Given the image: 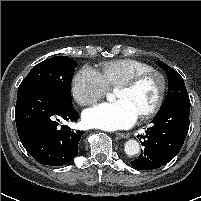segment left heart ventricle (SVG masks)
Wrapping results in <instances>:
<instances>
[{
	"label": "left heart ventricle",
	"mask_w": 201,
	"mask_h": 201,
	"mask_svg": "<svg viewBox=\"0 0 201 201\" xmlns=\"http://www.w3.org/2000/svg\"><path fill=\"white\" fill-rule=\"evenodd\" d=\"M159 82L156 77H149L131 89L117 88L115 99L125 101L141 116L149 110L157 99Z\"/></svg>",
	"instance_id": "left-heart-ventricle-1"
}]
</instances>
